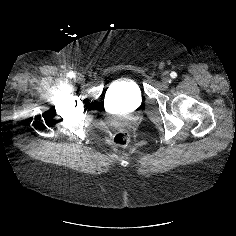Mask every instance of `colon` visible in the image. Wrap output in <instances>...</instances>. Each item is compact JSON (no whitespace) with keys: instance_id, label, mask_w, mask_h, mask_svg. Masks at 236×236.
I'll return each mask as SVG.
<instances>
[{"instance_id":"5ec220e1","label":"colon","mask_w":236,"mask_h":236,"mask_svg":"<svg viewBox=\"0 0 236 236\" xmlns=\"http://www.w3.org/2000/svg\"><path fill=\"white\" fill-rule=\"evenodd\" d=\"M130 141L129 132L125 129L120 130L110 137V142L117 147H125Z\"/></svg>"}]
</instances>
